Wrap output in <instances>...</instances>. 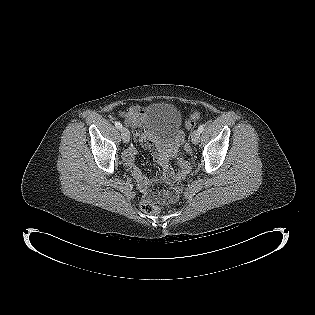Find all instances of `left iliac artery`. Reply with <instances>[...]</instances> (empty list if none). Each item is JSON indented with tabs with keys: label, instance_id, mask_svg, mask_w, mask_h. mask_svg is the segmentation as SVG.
<instances>
[{
	"label": "left iliac artery",
	"instance_id": "left-iliac-artery-1",
	"mask_svg": "<svg viewBox=\"0 0 315 315\" xmlns=\"http://www.w3.org/2000/svg\"><path fill=\"white\" fill-rule=\"evenodd\" d=\"M203 130H204V125L201 124V125L198 127V132H199V133H202Z\"/></svg>",
	"mask_w": 315,
	"mask_h": 315
}]
</instances>
